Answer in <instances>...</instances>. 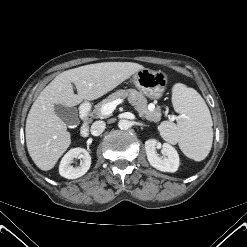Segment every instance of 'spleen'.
<instances>
[{
	"label": "spleen",
	"instance_id": "1",
	"mask_svg": "<svg viewBox=\"0 0 247 247\" xmlns=\"http://www.w3.org/2000/svg\"><path fill=\"white\" fill-rule=\"evenodd\" d=\"M172 104L180 114L178 121H163L159 126L161 136L170 143H178L190 159L204 160L213 142V122L204 99L195 89L177 83L172 89Z\"/></svg>",
	"mask_w": 247,
	"mask_h": 247
}]
</instances>
